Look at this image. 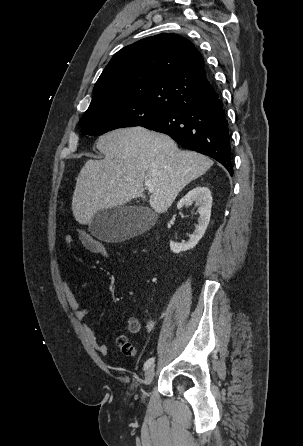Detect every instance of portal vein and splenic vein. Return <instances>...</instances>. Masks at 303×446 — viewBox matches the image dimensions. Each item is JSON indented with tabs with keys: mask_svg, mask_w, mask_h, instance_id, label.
Segmentation results:
<instances>
[{
	"mask_svg": "<svg viewBox=\"0 0 303 446\" xmlns=\"http://www.w3.org/2000/svg\"><path fill=\"white\" fill-rule=\"evenodd\" d=\"M145 186L148 188L150 192H154V187L150 180H145Z\"/></svg>",
	"mask_w": 303,
	"mask_h": 446,
	"instance_id": "obj_1",
	"label": "portal vein and splenic vein"
}]
</instances>
